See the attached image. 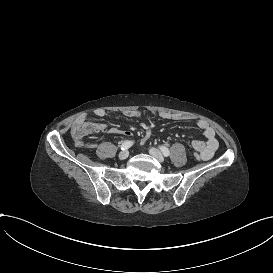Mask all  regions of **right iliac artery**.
I'll return each mask as SVG.
<instances>
[{
	"mask_svg": "<svg viewBox=\"0 0 273 273\" xmlns=\"http://www.w3.org/2000/svg\"><path fill=\"white\" fill-rule=\"evenodd\" d=\"M133 145L132 141H125L122 143L121 145V150H127L128 148H130Z\"/></svg>",
	"mask_w": 273,
	"mask_h": 273,
	"instance_id": "obj_1",
	"label": "right iliac artery"
}]
</instances>
